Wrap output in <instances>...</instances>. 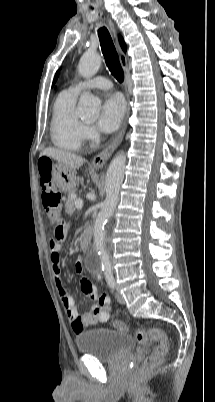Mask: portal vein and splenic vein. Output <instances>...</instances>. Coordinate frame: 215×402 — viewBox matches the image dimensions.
I'll return each mask as SVG.
<instances>
[{
    "instance_id": "portal-vein-and-splenic-vein-1",
    "label": "portal vein and splenic vein",
    "mask_w": 215,
    "mask_h": 402,
    "mask_svg": "<svg viewBox=\"0 0 215 402\" xmlns=\"http://www.w3.org/2000/svg\"><path fill=\"white\" fill-rule=\"evenodd\" d=\"M75 207L77 209H81L83 207V201L81 199H78L75 201Z\"/></svg>"
}]
</instances>
